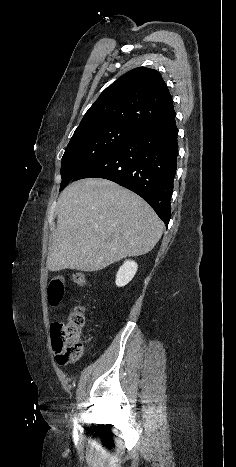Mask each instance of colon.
Instances as JSON below:
<instances>
[{"label": "colon", "instance_id": "5ec220e1", "mask_svg": "<svg viewBox=\"0 0 236 467\" xmlns=\"http://www.w3.org/2000/svg\"><path fill=\"white\" fill-rule=\"evenodd\" d=\"M71 281L79 287L87 285V273L82 270L74 271ZM65 280L62 276H54L49 284L47 300L51 307L59 306L64 298ZM85 325V312L82 307L74 308L68 315L66 322H55L52 326V349L56 361L61 366H68L77 361L83 350L81 331Z\"/></svg>", "mask_w": 236, "mask_h": 467}]
</instances>
